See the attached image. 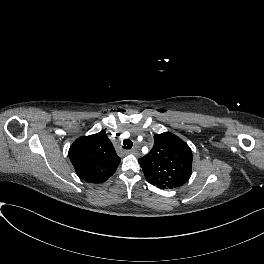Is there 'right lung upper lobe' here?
<instances>
[{"label":"right lung upper lobe","mask_w":264,"mask_h":264,"mask_svg":"<svg viewBox=\"0 0 264 264\" xmlns=\"http://www.w3.org/2000/svg\"><path fill=\"white\" fill-rule=\"evenodd\" d=\"M68 154L77 175L90 183L106 181L120 163L105 131L78 138Z\"/></svg>","instance_id":"1"}]
</instances>
